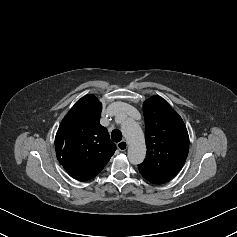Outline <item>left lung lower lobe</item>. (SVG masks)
<instances>
[{"label": "left lung lower lobe", "instance_id": "left-lung-lower-lobe-1", "mask_svg": "<svg viewBox=\"0 0 237 237\" xmlns=\"http://www.w3.org/2000/svg\"><path fill=\"white\" fill-rule=\"evenodd\" d=\"M140 173H141V175H142L146 180H148V181H150V182H152V183H154V184H163V183L168 182L167 180H163V179L157 178V177L152 176V175H150V174H148V173H145V172H141V171H140Z\"/></svg>", "mask_w": 237, "mask_h": 237}]
</instances>
